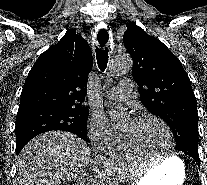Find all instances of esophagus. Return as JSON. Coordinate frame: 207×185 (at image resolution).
Instances as JSON below:
<instances>
[{"mask_svg":"<svg viewBox=\"0 0 207 185\" xmlns=\"http://www.w3.org/2000/svg\"><path fill=\"white\" fill-rule=\"evenodd\" d=\"M107 26H102V29H106ZM98 29H96L93 33H94V41L96 44L101 45V43L103 44V47H106V44L109 43V34L108 33H98Z\"/></svg>","mask_w":207,"mask_h":185,"instance_id":"obj_1","label":"esophagus"}]
</instances>
